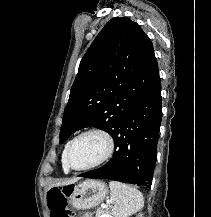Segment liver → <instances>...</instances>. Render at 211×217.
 <instances>
[{
  "label": "liver",
  "instance_id": "6515ba94",
  "mask_svg": "<svg viewBox=\"0 0 211 217\" xmlns=\"http://www.w3.org/2000/svg\"><path fill=\"white\" fill-rule=\"evenodd\" d=\"M79 180V178H74L72 180H68V181H65V182H59V183H56L55 186H61V185H71L75 182H77ZM54 185H51L50 187H52Z\"/></svg>",
  "mask_w": 211,
  "mask_h": 217
}]
</instances>
